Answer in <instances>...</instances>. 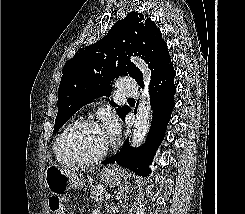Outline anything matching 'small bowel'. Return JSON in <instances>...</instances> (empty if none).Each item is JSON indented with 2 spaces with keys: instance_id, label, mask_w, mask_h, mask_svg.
<instances>
[{
  "instance_id": "c3829d8e",
  "label": "small bowel",
  "mask_w": 245,
  "mask_h": 214,
  "mask_svg": "<svg viewBox=\"0 0 245 214\" xmlns=\"http://www.w3.org/2000/svg\"><path fill=\"white\" fill-rule=\"evenodd\" d=\"M94 214H99L98 212H95Z\"/></svg>"
}]
</instances>
